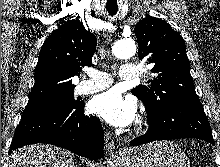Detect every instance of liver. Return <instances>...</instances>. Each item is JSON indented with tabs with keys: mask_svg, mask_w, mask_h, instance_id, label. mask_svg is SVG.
<instances>
[{
	"mask_svg": "<svg viewBox=\"0 0 220 167\" xmlns=\"http://www.w3.org/2000/svg\"><path fill=\"white\" fill-rule=\"evenodd\" d=\"M74 160V155L64 149L35 144L14 151L8 160V165L9 167H75Z\"/></svg>",
	"mask_w": 220,
	"mask_h": 167,
	"instance_id": "6515ba94",
	"label": "liver"
}]
</instances>
